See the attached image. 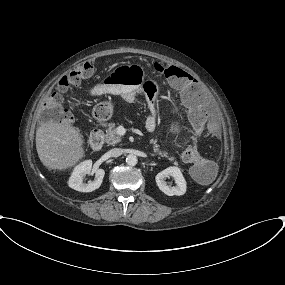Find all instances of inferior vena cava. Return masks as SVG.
Listing matches in <instances>:
<instances>
[{
    "mask_svg": "<svg viewBox=\"0 0 285 285\" xmlns=\"http://www.w3.org/2000/svg\"><path fill=\"white\" fill-rule=\"evenodd\" d=\"M109 154L112 156V157H118L120 155L123 154V149L121 148H113L109 151Z\"/></svg>",
    "mask_w": 285,
    "mask_h": 285,
    "instance_id": "602c4592",
    "label": "inferior vena cava"
}]
</instances>
